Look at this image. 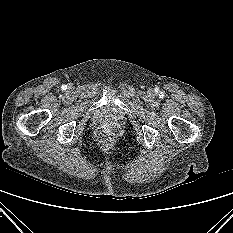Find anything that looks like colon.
<instances>
[{"instance_id":"1","label":"colon","mask_w":233,"mask_h":233,"mask_svg":"<svg viewBox=\"0 0 233 233\" xmlns=\"http://www.w3.org/2000/svg\"><path fill=\"white\" fill-rule=\"evenodd\" d=\"M98 134L103 141H110L113 137L112 130L104 126L99 128Z\"/></svg>"}]
</instances>
